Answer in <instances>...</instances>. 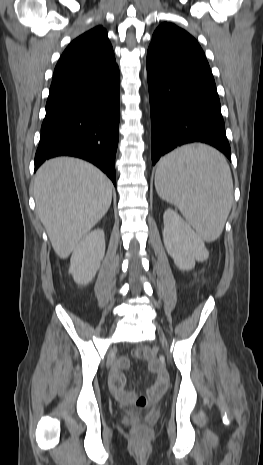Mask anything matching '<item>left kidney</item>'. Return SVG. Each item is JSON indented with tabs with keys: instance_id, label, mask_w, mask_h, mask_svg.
I'll return each mask as SVG.
<instances>
[{
	"instance_id": "left-kidney-1",
	"label": "left kidney",
	"mask_w": 263,
	"mask_h": 465,
	"mask_svg": "<svg viewBox=\"0 0 263 465\" xmlns=\"http://www.w3.org/2000/svg\"><path fill=\"white\" fill-rule=\"evenodd\" d=\"M163 241L175 265L183 271L194 268L195 261L208 258L203 240L177 212L167 209L163 214Z\"/></svg>"
}]
</instances>
